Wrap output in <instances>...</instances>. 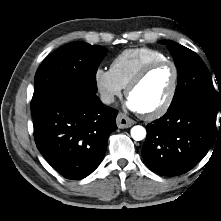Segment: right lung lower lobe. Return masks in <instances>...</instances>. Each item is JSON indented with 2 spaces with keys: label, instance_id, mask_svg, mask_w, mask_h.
<instances>
[{
  "label": "right lung lower lobe",
  "instance_id": "1",
  "mask_svg": "<svg viewBox=\"0 0 221 221\" xmlns=\"http://www.w3.org/2000/svg\"><path fill=\"white\" fill-rule=\"evenodd\" d=\"M117 113L96 95L57 93L32 114L36 146L60 175L81 180L103 160Z\"/></svg>",
  "mask_w": 221,
  "mask_h": 221
}]
</instances>
